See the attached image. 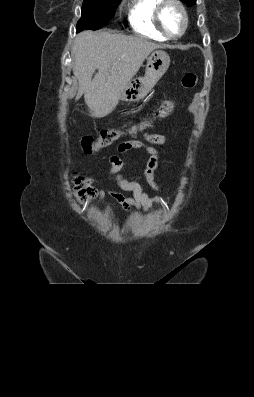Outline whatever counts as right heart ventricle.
Masks as SVG:
<instances>
[{"instance_id":"obj_1","label":"right heart ventricle","mask_w":254,"mask_h":397,"mask_svg":"<svg viewBox=\"0 0 254 397\" xmlns=\"http://www.w3.org/2000/svg\"><path fill=\"white\" fill-rule=\"evenodd\" d=\"M160 0H131L128 10L129 23L137 34L156 41L166 38L158 31L154 12Z\"/></svg>"}]
</instances>
